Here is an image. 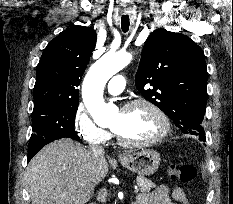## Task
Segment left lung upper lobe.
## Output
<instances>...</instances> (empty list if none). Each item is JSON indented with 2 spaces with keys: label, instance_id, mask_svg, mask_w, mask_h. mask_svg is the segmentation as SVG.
Here are the masks:
<instances>
[{
  "label": "left lung upper lobe",
  "instance_id": "left-lung-upper-lobe-1",
  "mask_svg": "<svg viewBox=\"0 0 233 204\" xmlns=\"http://www.w3.org/2000/svg\"><path fill=\"white\" fill-rule=\"evenodd\" d=\"M135 84L183 133L205 141L201 123L207 102V67L202 49L188 36L153 31L145 42ZM146 84L152 88L144 89Z\"/></svg>",
  "mask_w": 233,
  "mask_h": 204
}]
</instances>
